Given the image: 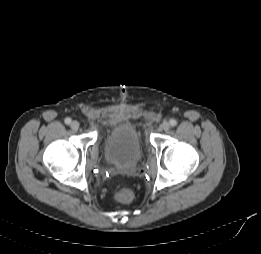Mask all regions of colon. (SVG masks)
<instances>
[{
    "mask_svg": "<svg viewBox=\"0 0 261 254\" xmlns=\"http://www.w3.org/2000/svg\"><path fill=\"white\" fill-rule=\"evenodd\" d=\"M115 198L120 203H129L133 200L134 193L130 188L125 187L116 193Z\"/></svg>",
    "mask_w": 261,
    "mask_h": 254,
    "instance_id": "5ec220e1",
    "label": "colon"
}]
</instances>
